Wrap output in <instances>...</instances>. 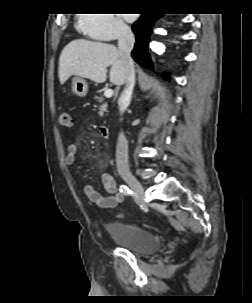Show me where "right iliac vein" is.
Returning <instances> with one entry per match:
<instances>
[{"label": "right iliac vein", "mask_w": 252, "mask_h": 303, "mask_svg": "<svg viewBox=\"0 0 252 303\" xmlns=\"http://www.w3.org/2000/svg\"><path fill=\"white\" fill-rule=\"evenodd\" d=\"M122 178L139 197L144 198V188L132 174L125 173Z\"/></svg>", "instance_id": "obj_1"}]
</instances>
